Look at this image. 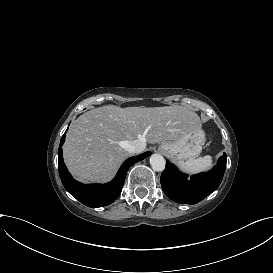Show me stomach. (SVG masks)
I'll use <instances>...</instances> for the list:
<instances>
[{
  "label": "stomach",
  "instance_id": "1",
  "mask_svg": "<svg viewBox=\"0 0 273 273\" xmlns=\"http://www.w3.org/2000/svg\"><path fill=\"white\" fill-rule=\"evenodd\" d=\"M207 140V132L202 125L175 141H164L160 151L171 159L182 161L197 157Z\"/></svg>",
  "mask_w": 273,
  "mask_h": 273
}]
</instances>
